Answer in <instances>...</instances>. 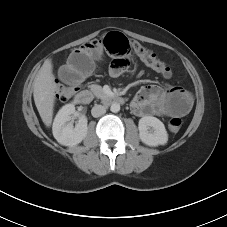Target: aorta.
Instances as JSON below:
<instances>
[{
    "label": "aorta",
    "mask_w": 227,
    "mask_h": 227,
    "mask_svg": "<svg viewBox=\"0 0 227 227\" xmlns=\"http://www.w3.org/2000/svg\"><path fill=\"white\" fill-rule=\"evenodd\" d=\"M110 111L113 113H117L120 111V105L118 103H113L110 107Z\"/></svg>",
    "instance_id": "obj_1"
}]
</instances>
